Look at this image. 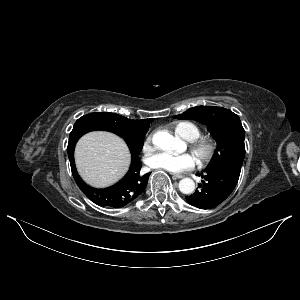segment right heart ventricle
I'll use <instances>...</instances> for the list:
<instances>
[{"label":"right heart ventricle","instance_id":"right-heart-ventricle-1","mask_svg":"<svg viewBox=\"0 0 300 300\" xmlns=\"http://www.w3.org/2000/svg\"><path fill=\"white\" fill-rule=\"evenodd\" d=\"M175 132L182 138L193 141L201 135V130L192 122L182 121L175 125Z\"/></svg>","mask_w":300,"mask_h":300}]
</instances>
